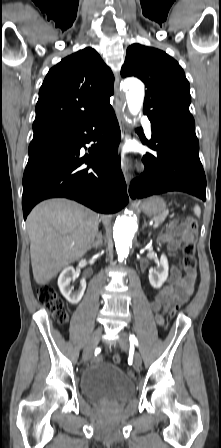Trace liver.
<instances>
[{
	"instance_id": "1",
	"label": "liver",
	"mask_w": 221,
	"mask_h": 448,
	"mask_svg": "<svg viewBox=\"0 0 221 448\" xmlns=\"http://www.w3.org/2000/svg\"><path fill=\"white\" fill-rule=\"evenodd\" d=\"M100 217L67 199L39 203L27 217L33 277L46 284L83 257L98 234Z\"/></svg>"
}]
</instances>
